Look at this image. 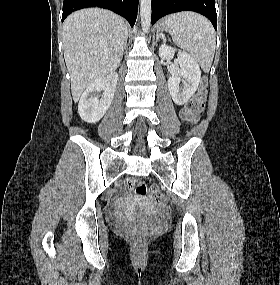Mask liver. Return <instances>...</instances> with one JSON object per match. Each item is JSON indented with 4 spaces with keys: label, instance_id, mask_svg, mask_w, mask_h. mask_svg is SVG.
I'll return each mask as SVG.
<instances>
[{
    "label": "liver",
    "instance_id": "obj_1",
    "mask_svg": "<svg viewBox=\"0 0 280 285\" xmlns=\"http://www.w3.org/2000/svg\"><path fill=\"white\" fill-rule=\"evenodd\" d=\"M127 36L123 18L108 10L83 9L66 18L63 50L75 102L95 80L118 68Z\"/></svg>",
    "mask_w": 280,
    "mask_h": 285
}]
</instances>
